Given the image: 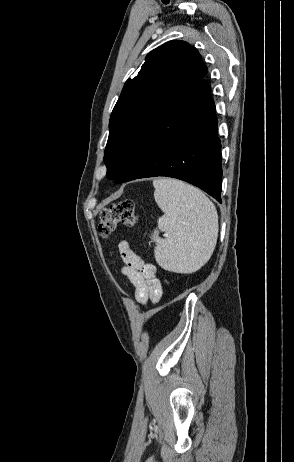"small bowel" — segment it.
I'll use <instances>...</instances> for the list:
<instances>
[{
	"instance_id": "c3829d8e",
	"label": "small bowel",
	"mask_w": 294,
	"mask_h": 462,
	"mask_svg": "<svg viewBox=\"0 0 294 462\" xmlns=\"http://www.w3.org/2000/svg\"><path fill=\"white\" fill-rule=\"evenodd\" d=\"M124 266L122 274L134 287L136 300L142 304L156 303L160 299L162 287L153 264L145 263L136 254L127 241H121L118 246Z\"/></svg>"
}]
</instances>
